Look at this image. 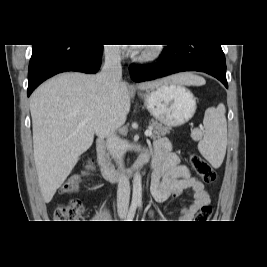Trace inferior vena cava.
Segmentation results:
<instances>
[{
	"label": "inferior vena cava",
	"mask_w": 267,
	"mask_h": 267,
	"mask_svg": "<svg viewBox=\"0 0 267 267\" xmlns=\"http://www.w3.org/2000/svg\"><path fill=\"white\" fill-rule=\"evenodd\" d=\"M121 51L117 47H109L105 50V63L98 78L109 87L118 85L122 78ZM115 130L107 135L106 147L115 159L121 174L118 180L117 208L119 212H127L130 200V183L124 172L123 157L125 149L123 141L116 136Z\"/></svg>",
	"instance_id": "inferior-vena-cava-1"
}]
</instances>
